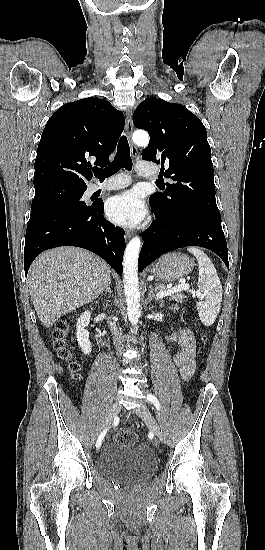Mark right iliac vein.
I'll use <instances>...</instances> for the list:
<instances>
[{
    "instance_id": "1",
    "label": "right iliac vein",
    "mask_w": 265,
    "mask_h": 550,
    "mask_svg": "<svg viewBox=\"0 0 265 550\" xmlns=\"http://www.w3.org/2000/svg\"><path fill=\"white\" fill-rule=\"evenodd\" d=\"M120 409H121V405L118 402H115L114 404L111 405L104 422L100 425V427L96 432V435L94 437L95 440H98L99 436L103 433V431L106 430L111 425L113 419L120 412Z\"/></svg>"
}]
</instances>
